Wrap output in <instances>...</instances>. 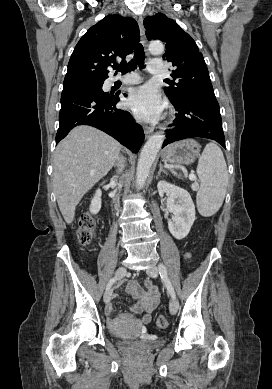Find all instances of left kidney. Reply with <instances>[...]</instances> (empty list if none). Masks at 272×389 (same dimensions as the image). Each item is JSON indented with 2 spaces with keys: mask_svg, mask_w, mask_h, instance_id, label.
<instances>
[{
  "mask_svg": "<svg viewBox=\"0 0 272 389\" xmlns=\"http://www.w3.org/2000/svg\"><path fill=\"white\" fill-rule=\"evenodd\" d=\"M160 197L168 193L165 212L173 213L172 220H168L170 233L178 240L185 238L195 221V206L190 194L183 188L159 181L157 184Z\"/></svg>",
  "mask_w": 272,
  "mask_h": 389,
  "instance_id": "5707ae66",
  "label": "left kidney"
}]
</instances>
